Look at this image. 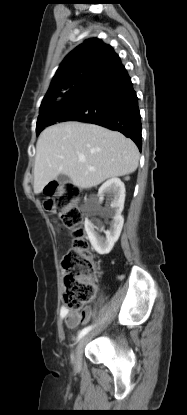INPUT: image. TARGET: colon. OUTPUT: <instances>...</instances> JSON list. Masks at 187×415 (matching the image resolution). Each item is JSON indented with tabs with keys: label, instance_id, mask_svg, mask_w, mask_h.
<instances>
[{
	"label": "colon",
	"instance_id": "obj_1",
	"mask_svg": "<svg viewBox=\"0 0 187 415\" xmlns=\"http://www.w3.org/2000/svg\"><path fill=\"white\" fill-rule=\"evenodd\" d=\"M45 195L46 211L56 215L62 225L73 232V245L62 265L63 300L69 310H79L94 299L97 290L93 281L96 265L89 251L78 208L81 191L73 183L54 181L46 186Z\"/></svg>",
	"mask_w": 187,
	"mask_h": 415
}]
</instances>
